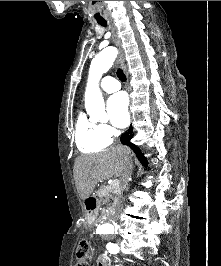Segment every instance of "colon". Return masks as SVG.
<instances>
[{
  "label": "colon",
  "mask_w": 221,
  "mask_h": 266,
  "mask_svg": "<svg viewBox=\"0 0 221 266\" xmlns=\"http://www.w3.org/2000/svg\"><path fill=\"white\" fill-rule=\"evenodd\" d=\"M88 251L89 247L87 242L82 241L78 248V253H77L78 262L76 266H90L89 262L87 261Z\"/></svg>",
  "instance_id": "1"
}]
</instances>
